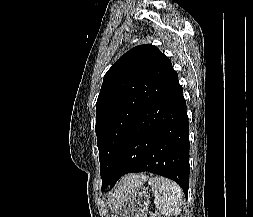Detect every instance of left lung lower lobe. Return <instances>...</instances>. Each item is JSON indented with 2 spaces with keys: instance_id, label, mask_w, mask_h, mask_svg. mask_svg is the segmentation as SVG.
Returning <instances> with one entry per match:
<instances>
[{
  "instance_id": "left-lung-lower-lobe-1",
  "label": "left lung lower lobe",
  "mask_w": 253,
  "mask_h": 217,
  "mask_svg": "<svg viewBox=\"0 0 253 217\" xmlns=\"http://www.w3.org/2000/svg\"><path fill=\"white\" fill-rule=\"evenodd\" d=\"M144 171L174 180L187 197L189 124L178 80L132 123L119 145L113 172L102 190L113 188L124 174Z\"/></svg>"
}]
</instances>
